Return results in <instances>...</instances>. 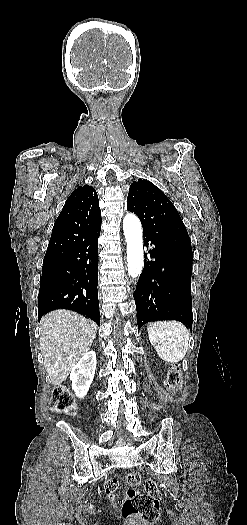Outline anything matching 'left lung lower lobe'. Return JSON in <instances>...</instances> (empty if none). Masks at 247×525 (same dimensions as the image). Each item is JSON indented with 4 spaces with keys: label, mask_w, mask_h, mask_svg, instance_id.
Listing matches in <instances>:
<instances>
[{
    "label": "left lung lower lobe",
    "mask_w": 247,
    "mask_h": 525,
    "mask_svg": "<svg viewBox=\"0 0 247 525\" xmlns=\"http://www.w3.org/2000/svg\"><path fill=\"white\" fill-rule=\"evenodd\" d=\"M143 237L144 245L150 244L152 249L151 260L144 261L134 292L138 327L153 321L176 320L191 329L192 260L161 237L144 231Z\"/></svg>",
    "instance_id": "left-lung-lower-lobe-1"
}]
</instances>
